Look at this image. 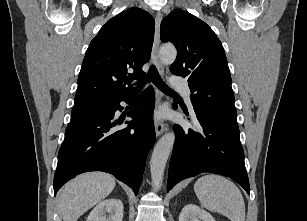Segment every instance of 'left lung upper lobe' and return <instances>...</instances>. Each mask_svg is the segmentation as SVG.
<instances>
[{
	"instance_id": "1",
	"label": "left lung upper lobe",
	"mask_w": 307,
	"mask_h": 221,
	"mask_svg": "<svg viewBox=\"0 0 307 221\" xmlns=\"http://www.w3.org/2000/svg\"><path fill=\"white\" fill-rule=\"evenodd\" d=\"M162 42L177 48L172 74L188 76L193 107L237 125L231 75L224 49L212 29L183 10H175L161 22Z\"/></svg>"
}]
</instances>
